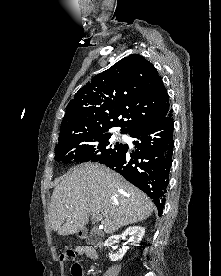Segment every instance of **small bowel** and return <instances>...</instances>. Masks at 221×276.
<instances>
[{
  "instance_id": "1",
  "label": "small bowel",
  "mask_w": 221,
  "mask_h": 276,
  "mask_svg": "<svg viewBox=\"0 0 221 276\" xmlns=\"http://www.w3.org/2000/svg\"><path fill=\"white\" fill-rule=\"evenodd\" d=\"M78 253L86 255L91 259H96L98 257L96 250L91 246H80L78 248Z\"/></svg>"
}]
</instances>
